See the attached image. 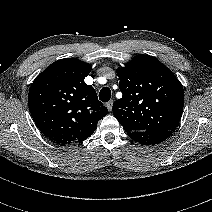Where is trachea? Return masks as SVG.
I'll return each mask as SVG.
<instances>
[{
  "instance_id": "obj_1",
  "label": "trachea",
  "mask_w": 212,
  "mask_h": 212,
  "mask_svg": "<svg viewBox=\"0 0 212 212\" xmlns=\"http://www.w3.org/2000/svg\"><path fill=\"white\" fill-rule=\"evenodd\" d=\"M111 98V90L108 87H103L99 92V99L102 102H108Z\"/></svg>"
}]
</instances>
